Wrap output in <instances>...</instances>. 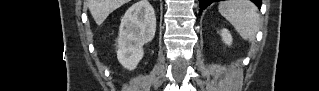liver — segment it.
Segmentation results:
<instances>
[{"mask_svg":"<svg viewBox=\"0 0 319 91\" xmlns=\"http://www.w3.org/2000/svg\"><path fill=\"white\" fill-rule=\"evenodd\" d=\"M129 0H87L86 4L97 25H101L114 10Z\"/></svg>","mask_w":319,"mask_h":91,"instance_id":"1","label":"liver"}]
</instances>
